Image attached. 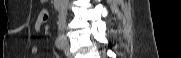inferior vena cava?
Instances as JSON below:
<instances>
[{
    "mask_svg": "<svg viewBox=\"0 0 181 58\" xmlns=\"http://www.w3.org/2000/svg\"><path fill=\"white\" fill-rule=\"evenodd\" d=\"M68 2L69 0H61V8L58 20V31L60 33L65 30Z\"/></svg>",
    "mask_w": 181,
    "mask_h": 58,
    "instance_id": "602c4592",
    "label": "inferior vena cava"
}]
</instances>
